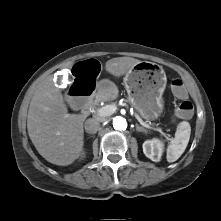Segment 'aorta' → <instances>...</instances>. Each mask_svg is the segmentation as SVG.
<instances>
[{
    "label": "aorta",
    "mask_w": 221,
    "mask_h": 221,
    "mask_svg": "<svg viewBox=\"0 0 221 221\" xmlns=\"http://www.w3.org/2000/svg\"><path fill=\"white\" fill-rule=\"evenodd\" d=\"M113 127L116 130H125L127 128L126 119L120 116L113 118Z\"/></svg>",
    "instance_id": "762f6f07"
}]
</instances>
